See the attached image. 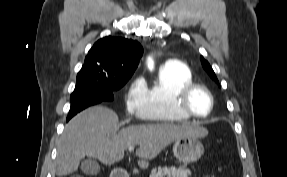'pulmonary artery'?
<instances>
[{"label": "pulmonary artery", "mask_w": 287, "mask_h": 177, "mask_svg": "<svg viewBox=\"0 0 287 177\" xmlns=\"http://www.w3.org/2000/svg\"><path fill=\"white\" fill-rule=\"evenodd\" d=\"M166 63H168V64L176 63V59H173V58L168 59V60L166 61Z\"/></svg>", "instance_id": "pulmonary-artery-1"}]
</instances>
